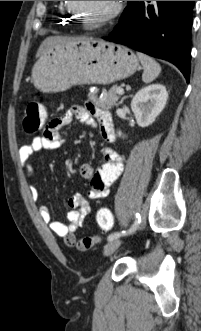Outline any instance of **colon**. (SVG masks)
I'll return each mask as SVG.
<instances>
[{
	"mask_svg": "<svg viewBox=\"0 0 201 331\" xmlns=\"http://www.w3.org/2000/svg\"><path fill=\"white\" fill-rule=\"evenodd\" d=\"M47 120V113L44 106L38 101H31L28 103L24 118H23V127L27 133H35L44 128ZM97 224L102 229H110L113 225V217L111 211L102 207L97 211L96 214ZM99 237L97 236H88L82 237L77 241V248L79 249H89L99 242Z\"/></svg>",
	"mask_w": 201,
	"mask_h": 331,
	"instance_id": "colon-1",
	"label": "colon"
}]
</instances>
